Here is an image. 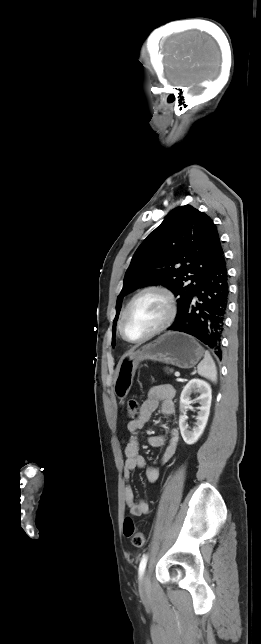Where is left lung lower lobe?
Masks as SVG:
<instances>
[{
    "mask_svg": "<svg viewBox=\"0 0 261 644\" xmlns=\"http://www.w3.org/2000/svg\"><path fill=\"white\" fill-rule=\"evenodd\" d=\"M228 297V271L223 252L203 277L182 314L168 330L195 336L221 358V335Z\"/></svg>",
    "mask_w": 261,
    "mask_h": 644,
    "instance_id": "left-lung-lower-lobe-1",
    "label": "left lung lower lobe"
}]
</instances>
